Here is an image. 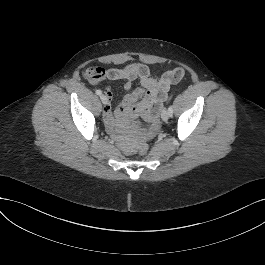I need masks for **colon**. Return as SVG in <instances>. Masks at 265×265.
<instances>
[{"instance_id":"colon-1","label":"colon","mask_w":265,"mask_h":265,"mask_svg":"<svg viewBox=\"0 0 265 265\" xmlns=\"http://www.w3.org/2000/svg\"><path fill=\"white\" fill-rule=\"evenodd\" d=\"M84 77L91 83L100 81L104 77V70L101 67L88 68L84 72ZM137 149L140 155H145L148 151V145L141 143Z\"/></svg>"}]
</instances>
